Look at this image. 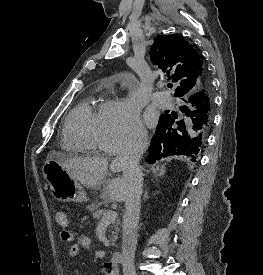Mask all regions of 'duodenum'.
<instances>
[{
	"label": "duodenum",
	"mask_w": 263,
	"mask_h": 275,
	"mask_svg": "<svg viewBox=\"0 0 263 275\" xmlns=\"http://www.w3.org/2000/svg\"><path fill=\"white\" fill-rule=\"evenodd\" d=\"M122 262V254L120 252H114L111 258L104 263L105 269L110 272L117 270L118 265Z\"/></svg>",
	"instance_id": "duodenum-1"
}]
</instances>
